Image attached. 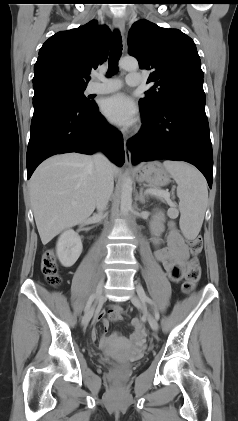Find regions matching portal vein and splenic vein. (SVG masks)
I'll list each match as a JSON object with an SVG mask.
<instances>
[{"label":"portal vein and splenic vein","mask_w":238,"mask_h":421,"mask_svg":"<svg viewBox=\"0 0 238 421\" xmlns=\"http://www.w3.org/2000/svg\"><path fill=\"white\" fill-rule=\"evenodd\" d=\"M146 193L151 194V195H155V196H162V197H166V198L170 197L169 192L163 191V190L147 189Z\"/></svg>","instance_id":"portal-vein-and-splenic-vein-1"}]
</instances>
